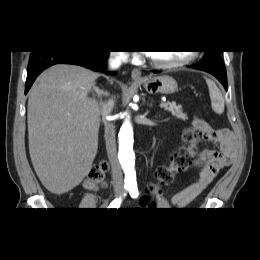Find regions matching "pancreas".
<instances>
[{
  "instance_id": "obj_1",
  "label": "pancreas",
  "mask_w": 260,
  "mask_h": 260,
  "mask_svg": "<svg viewBox=\"0 0 260 260\" xmlns=\"http://www.w3.org/2000/svg\"><path fill=\"white\" fill-rule=\"evenodd\" d=\"M168 106L165 107L166 111L171 112V114L179 119L186 120L187 114L183 113L182 107L180 105H176L175 102H168Z\"/></svg>"
}]
</instances>
